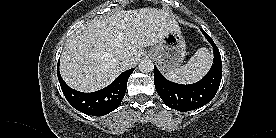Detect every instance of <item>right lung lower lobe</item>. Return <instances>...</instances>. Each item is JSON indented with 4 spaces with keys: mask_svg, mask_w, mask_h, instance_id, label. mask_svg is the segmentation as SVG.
I'll return each mask as SVG.
<instances>
[{
    "mask_svg": "<svg viewBox=\"0 0 276 138\" xmlns=\"http://www.w3.org/2000/svg\"><path fill=\"white\" fill-rule=\"evenodd\" d=\"M58 79L67 101L78 111L93 116L106 115L119 107L125 95L127 81L134 68L121 73L109 86L92 93L70 88L61 78L58 63Z\"/></svg>",
    "mask_w": 276,
    "mask_h": 138,
    "instance_id": "obj_1",
    "label": "right lung lower lobe"
}]
</instances>
